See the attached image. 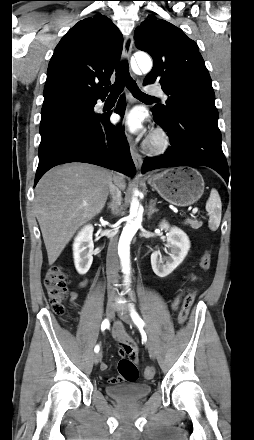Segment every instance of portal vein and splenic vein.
Masks as SVG:
<instances>
[{"instance_id": "portal-vein-and-splenic-vein-1", "label": "portal vein and splenic vein", "mask_w": 254, "mask_h": 440, "mask_svg": "<svg viewBox=\"0 0 254 440\" xmlns=\"http://www.w3.org/2000/svg\"><path fill=\"white\" fill-rule=\"evenodd\" d=\"M197 212H198V209H197V208H194V209L192 210V217H194V215H195Z\"/></svg>"}]
</instances>
